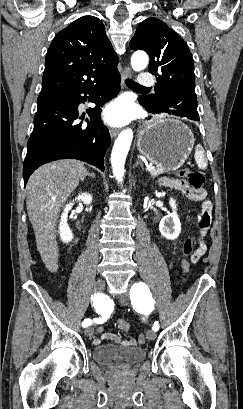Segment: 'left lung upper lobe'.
Wrapping results in <instances>:
<instances>
[{
	"label": "left lung upper lobe",
	"instance_id": "5c2ea615",
	"mask_svg": "<svg viewBox=\"0 0 243 409\" xmlns=\"http://www.w3.org/2000/svg\"><path fill=\"white\" fill-rule=\"evenodd\" d=\"M130 48L149 54L148 71L156 76L155 95L142 99L151 106L171 100L190 103L197 108L194 62L186 42L157 18L141 22L131 39Z\"/></svg>",
	"mask_w": 243,
	"mask_h": 409
}]
</instances>
